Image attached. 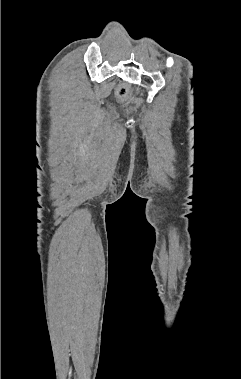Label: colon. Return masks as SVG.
<instances>
[{"label": "colon", "mask_w": 241, "mask_h": 379, "mask_svg": "<svg viewBox=\"0 0 241 379\" xmlns=\"http://www.w3.org/2000/svg\"><path fill=\"white\" fill-rule=\"evenodd\" d=\"M118 96L121 100H126L127 99V92L124 88L119 89L118 91Z\"/></svg>", "instance_id": "5ec220e1"}]
</instances>
